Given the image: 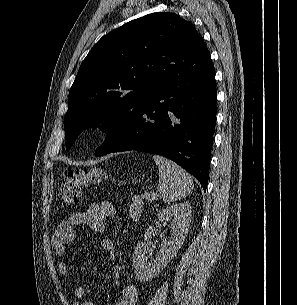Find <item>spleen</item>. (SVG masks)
Listing matches in <instances>:
<instances>
[{"instance_id":"spleen-1","label":"spleen","mask_w":297,"mask_h":305,"mask_svg":"<svg viewBox=\"0 0 297 305\" xmlns=\"http://www.w3.org/2000/svg\"><path fill=\"white\" fill-rule=\"evenodd\" d=\"M153 159L159 168L158 191L164 202H174L190 194L193 181L185 170L162 156L154 155Z\"/></svg>"}]
</instances>
